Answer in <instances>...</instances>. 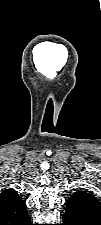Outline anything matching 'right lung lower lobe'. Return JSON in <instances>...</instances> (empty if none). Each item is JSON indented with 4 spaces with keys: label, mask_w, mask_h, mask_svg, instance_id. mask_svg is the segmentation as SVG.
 Here are the masks:
<instances>
[{
    "label": "right lung lower lobe",
    "mask_w": 101,
    "mask_h": 225,
    "mask_svg": "<svg viewBox=\"0 0 101 225\" xmlns=\"http://www.w3.org/2000/svg\"><path fill=\"white\" fill-rule=\"evenodd\" d=\"M24 225H32L31 222H30V219L28 220L27 223H24Z\"/></svg>",
    "instance_id": "98d812e1"
}]
</instances>
